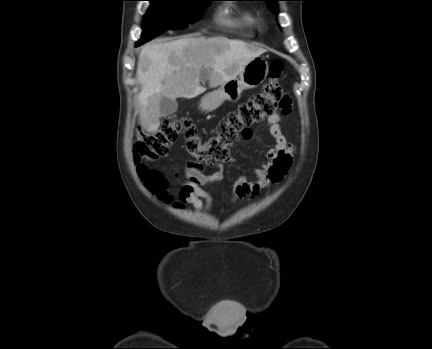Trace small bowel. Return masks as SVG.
I'll return each instance as SVG.
<instances>
[{
	"mask_svg": "<svg viewBox=\"0 0 432 349\" xmlns=\"http://www.w3.org/2000/svg\"><path fill=\"white\" fill-rule=\"evenodd\" d=\"M288 111V108L282 110L285 114ZM279 122L280 115L277 113L267 119L274 146L267 151L263 163L254 169L255 180H250L245 175L237 178L234 190L238 197L257 193L261 188L279 182L290 169L293 162V148L284 136ZM184 176L186 180L182 181L181 199L199 212L209 211L213 198L203 187L219 182L223 178L222 170L205 174L200 164L188 161L184 168Z\"/></svg>",
	"mask_w": 432,
	"mask_h": 349,
	"instance_id": "c3829d8e",
	"label": "small bowel"
}]
</instances>
